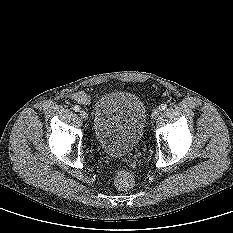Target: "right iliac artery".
Wrapping results in <instances>:
<instances>
[{"mask_svg": "<svg viewBox=\"0 0 233 233\" xmlns=\"http://www.w3.org/2000/svg\"><path fill=\"white\" fill-rule=\"evenodd\" d=\"M73 110H74L75 112H78V111L80 110V107H79L78 105H74V106H73Z\"/></svg>", "mask_w": 233, "mask_h": 233, "instance_id": "1", "label": "right iliac artery"}]
</instances>
